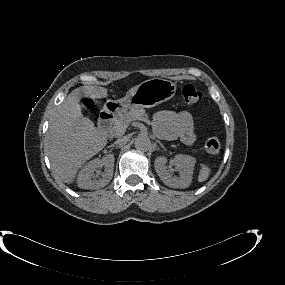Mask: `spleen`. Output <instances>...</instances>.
Listing matches in <instances>:
<instances>
[{"instance_id":"spleen-1","label":"spleen","mask_w":285,"mask_h":285,"mask_svg":"<svg viewBox=\"0 0 285 285\" xmlns=\"http://www.w3.org/2000/svg\"><path fill=\"white\" fill-rule=\"evenodd\" d=\"M211 173V169L207 165H202L199 175H198V181L204 182L209 178V175Z\"/></svg>"}]
</instances>
